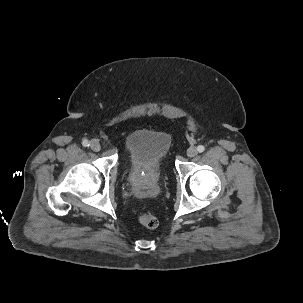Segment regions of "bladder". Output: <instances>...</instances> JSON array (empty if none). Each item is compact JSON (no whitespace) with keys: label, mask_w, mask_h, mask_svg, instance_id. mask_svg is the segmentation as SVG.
<instances>
[{"label":"bladder","mask_w":303,"mask_h":303,"mask_svg":"<svg viewBox=\"0 0 303 303\" xmlns=\"http://www.w3.org/2000/svg\"><path fill=\"white\" fill-rule=\"evenodd\" d=\"M172 145L170 134L160 130L138 129L125 142V158L130 178L147 185L159 177Z\"/></svg>","instance_id":"1"}]
</instances>
